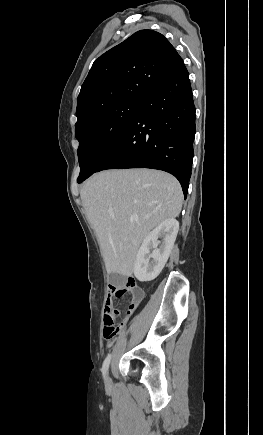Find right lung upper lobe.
I'll return each instance as SVG.
<instances>
[{
	"label": "right lung upper lobe",
	"mask_w": 263,
	"mask_h": 435,
	"mask_svg": "<svg viewBox=\"0 0 263 435\" xmlns=\"http://www.w3.org/2000/svg\"><path fill=\"white\" fill-rule=\"evenodd\" d=\"M183 66L162 34L153 30L134 33L93 63L77 99L75 127L106 104L123 99L144 101Z\"/></svg>",
	"instance_id": "right-lung-upper-lobe-1"
}]
</instances>
